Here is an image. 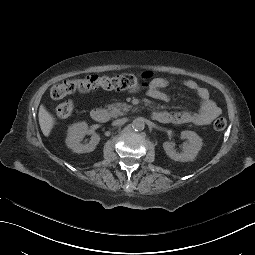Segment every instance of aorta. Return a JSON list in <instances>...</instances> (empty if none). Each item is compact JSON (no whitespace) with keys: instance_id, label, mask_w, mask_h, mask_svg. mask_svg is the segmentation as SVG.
Wrapping results in <instances>:
<instances>
[{"instance_id":"762f6f07","label":"aorta","mask_w":255,"mask_h":255,"mask_svg":"<svg viewBox=\"0 0 255 255\" xmlns=\"http://www.w3.org/2000/svg\"><path fill=\"white\" fill-rule=\"evenodd\" d=\"M145 127L144 120L142 118H136L132 121V128L136 131H141Z\"/></svg>"}]
</instances>
